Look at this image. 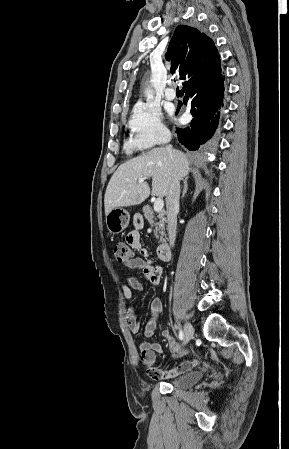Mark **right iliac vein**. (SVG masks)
Listing matches in <instances>:
<instances>
[{
	"label": "right iliac vein",
	"mask_w": 289,
	"mask_h": 449,
	"mask_svg": "<svg viewBox=\"0 0 289 449\" xmlns=\"http://www.w3.org/2000/svg\"><path fill=\"white\" fill-rule=\"evenodd\" d=\"M194 329L190 323H186L184 326V344H187L193 337Z\"/></svg>",
	"instance_id": "1"
}]
</instances>
